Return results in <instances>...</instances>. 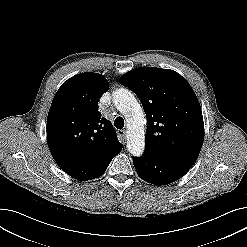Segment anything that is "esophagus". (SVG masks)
Instances as JSON below:
<instances>
[{
	"label": "esophagus",
	"instance_id": "34e87169",
	"mask_svg": "<svg viewBox=\"0 0 247 247\" xmlns=\"http://www.w3.org/2000/svg\"><path fill=\"white\" fill-rule=\"evenodd\" d=\"M118 134H119V137H120L121 141L124 142L126 140V132H125V130H119Z\"/></svg>",
	"mask_w": 247,
	"mask_h": 247
}]
</instances>
